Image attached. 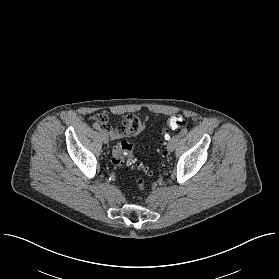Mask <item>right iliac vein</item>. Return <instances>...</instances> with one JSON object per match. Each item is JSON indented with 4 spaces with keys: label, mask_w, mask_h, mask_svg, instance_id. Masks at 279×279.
I'll return each mask as SVG.
<instances>
[{
    "label": "right iliac vein",
    "mask_w": 279,
    "mask_h": 279,
    "mask_svg": "<svg viewBox=\"0 0 279 279\" xmlns=\"http://www.w3.org/2000/svg\"><path fill=\"white\" fill-rule=\"evenodd\" d=\"M100 135H101L103 143L107 144L109 142V137H108L107 133L104 130H100Z\"/></svg>",
    "instance_id": "right-iliac-vein-1"
}]
</instances>
